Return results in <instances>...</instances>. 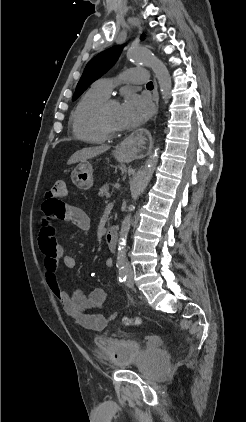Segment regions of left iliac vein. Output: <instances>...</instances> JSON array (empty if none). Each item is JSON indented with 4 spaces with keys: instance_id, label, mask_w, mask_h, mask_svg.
<instances>
[{
    "instance_id": "4c4485c4",
    "label": "left iliac vein",
    "mask_w": 246,
    "mask_h": 422,
    "mask_svg": "<svg viewBox=\"0 0 246 422\" xmlns=\"http://www.w3.org/2000/svg\"><path fill=\"white\" fill-rule=\"evenodd\" d=\"M126 285L129 288H133L134 287V282H133V279H132L131 275L128 276V280L126 282Z\"/></svg>"
}]
</instances>
